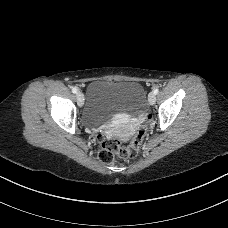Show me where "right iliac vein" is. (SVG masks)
Wrapping results in <instances>:
<instances>
[{
  "mask_svg": "<svg viewBox=\"0 0 228 228\" xmlns=\"http://www.w3.org/2000/svg\"><path fill=\"white\" fill-rule=\"evenodd\" d=\"M77 102L80 107L83 106V104H84V95L80 91L77 92Z\"/></svg>",
  "mask_w": 228,
  "mask_h": 228,
  "instance_id": "63e3f726",
  "label": "right iliac vein"
}]
</instances>
